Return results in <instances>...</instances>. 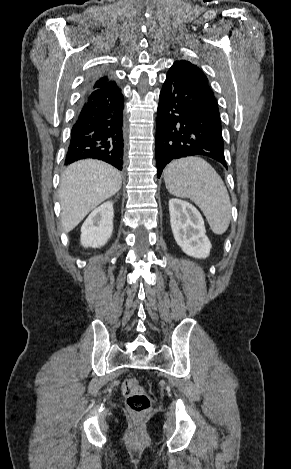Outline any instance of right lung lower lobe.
I'll return each mask as SVG.
<instances>
[{
	"instance_id": "right-lung-lower-lobe-1",
	"label": "right lung lower lobe",
	"mask_w": 291,
	"mask_h": 469,
	"mask_svg": "<svg viewBox=\"0 0 291 469\" xmlns=\"http://www.w3.org/2000/svg\"><path fill=\"white\" fill-rule=\"evenodd\" d=\"M93 81L94 77L85 85L71 130L65 165L93 158L122 170L124 98L117 85L92 89Z\"/></svg>"
}]
</instances>
